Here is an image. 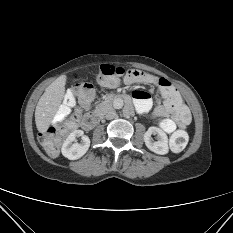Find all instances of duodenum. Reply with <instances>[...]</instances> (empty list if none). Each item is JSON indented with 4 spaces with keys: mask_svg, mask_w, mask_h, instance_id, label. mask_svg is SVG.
Masks as SVG:
<instances>
[{
    "mask_svg": "<svg viewBox=\"0 0 233 233\" xmlns=\"http://www.w3.org/2000/svg\"><path fill=\"white\" fill-rule=\"evenodd\" d=\"M115 100H119L122 99L126 102V109L128 112H132L133 111V105L131 103V100L129 98V96L124 95V94H118L114 97ZM101 118V112L100 111H96L90 114L85 115L82 120H81V126L83 129L85 130H90L92 128H94L97 123L99 122Z\"/></svg>",
    "mask_w": 233,
    "mask_h": 233,
    "instance_id": "obj_1",
    "label": "duodenum"
}]
</instances>
